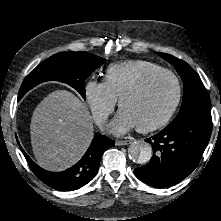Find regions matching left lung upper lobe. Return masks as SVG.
<instances>
[{
  "mask_svg": "<svg viewBox=\"0 0 221 221\" xmlns=\"http://www.w3.org/2000/svg\"><path fill=\"white\" fill-rule=\"evenodd\" d=\"M158 54L175 66L184 85L183 102L180 111L166 128L174 127L189 117L211 118L210 97L198 74L186 62L169 54Z\"/></svg>",
  "mask_w": 221,
  "mask_h": 221,
  "instance_id": "left-lung-upper-lobe-1",
  "label": "left lung upper lobe"
}]
</instances>
